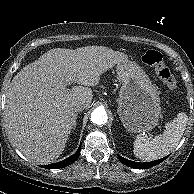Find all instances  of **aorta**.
<instances>
[{"label":"aorta","mask_w":194,"mask_h":194,"mask_svg":"<svg viewBox=\"0 0 194 194\" xmlns=\"http://www.w3.org/2000/svg\"><path fill=\"white\" fill-rule=\"evenodd\" d=\"M107 120L108 116L104 108L98 107L91 113V121L97 125H103Z\"/></svg>","instance_id":"1"}]
</instances>
